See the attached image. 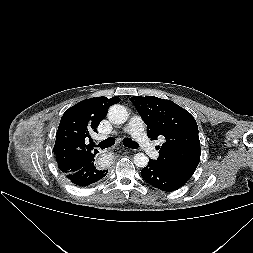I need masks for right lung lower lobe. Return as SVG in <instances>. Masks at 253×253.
<instances>
[{
    "label": "right lung lower lobe",
    "instance_id": "right-lung-lower-lobe-1",
    "mask_svg": "<svg viewBox=\"0 0 253 253\" xmlns=\"http://www.w3.org/2000/svg\"><path fill=\"white\" fill-rule=\"evenodd\" d=\"M107 172L108 170H100L95 162H92L76 172L65 174V176L76 186L85 187L105 177Z\"/></svg>",
    "mask_w": 253,
    "mask_h": 253
}]
</instances>
